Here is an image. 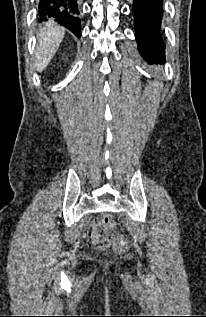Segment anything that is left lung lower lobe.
Here are the masks:
<instances>
[{"label":"left lung lower lobe","instance_id":"0a47b994","mask_svg":"<svg viewBox=\"0 0 206 317\" xmlns=\"http://www.w3.org/2000/svg\"><path fill=\"white\" fill-rule=\"evenodd\" d=\"M132 13L138 50L148 62L164 61L165 44L160 35L163 0H133Z\"/></svg>","mask_w":206,"mask_h":317}]
</instances>
